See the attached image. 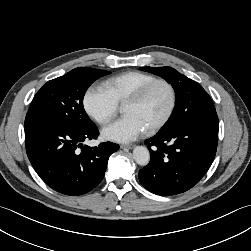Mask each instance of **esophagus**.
Returning <instances> with one entry per match:
<instances>
[{
	"mask_svg": "<svg viewBox=\"0 0 251 251\" xmlns=\"http://www.w3.org/2000/svg\"><path fill=\"white\" fill-rule=\"evenodd\" d=\"M120 148L121 149H132V148H134V145L133 144H121Z\"/></svg>",
	"mask_w": 251,
	"mask_h": 251,
	"instance_id": "1",
	"label": "esophagus"
}]
</instances>
